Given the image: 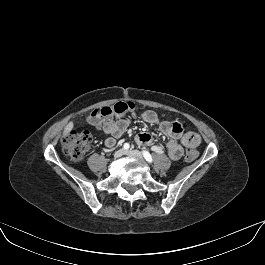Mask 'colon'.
Listing matches in <instances>:
<instances>
[{
    "label": "colon",
    "instance_id": "5ec220e1",
    "mask_svg": "<svg viewBox=\"0 0 265 265\" xmlns=\"http://www.w3.org/2000/svg\"><path fill=\"white\" fill-rule=\"evenodd\" d=\"M138 106L134 102L119 101L112 105L103 106L95 109L89 116V121L93 125H99L104 121L115 117L123 116L137 110ZM92 144V134L87 131L70 130L66 133L62 140L63 152L74 161H80L84 158L86 152ZM198 152L193 148H189L185 153L187 161H193L197 158Z\"/></svg>",
    "mask_w": 265,
    "mask_h": 265
}]
</instances>
